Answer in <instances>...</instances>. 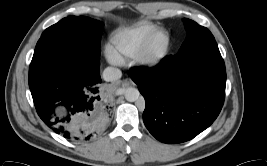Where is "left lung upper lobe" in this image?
Here are the masks:
<instances>
[{"label": "left lung upper lobe", "instance_id": "1", "mask_svg": "<svg viewBox=\"0 0 267 166\" xmlns=\"http://www.w3.org/2000/svg\"><path fill=\"white\" fill-rule=\"evenodd\" d=\"M185 28L187 30V37L182 44L178 53H182L195 45L197 42L205 39H214L212 33L205 27L198 25L196 22L184 18Z\"/></svg>", "mask_w": 267, "mask_h": 166}]
</instances>
